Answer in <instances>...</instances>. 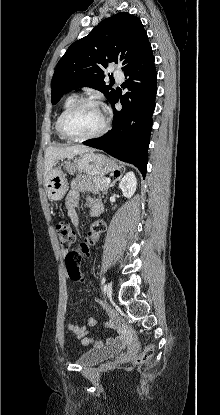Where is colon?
Instances as JSON below:
<instances>
[{"label": "colon", "mask_w": 220, "mask_h": 415, "mask_svg": "<svg viewBox=\"0 0 220 415\" xmlns=\"http://www.w3.org/2000/svg\"><path fill=\"white\" fill-rule=\"evenodd\" d=\"M55 229L61 246L66 249L65 261L68 275L73 281L78 282L83 278L80 261L89 251V246L84 241L76 244L74 232L67 222H58ZM152 355L153 346L149 345L144 353L137 357L136 362L143 363L150 359Z\"/></svg>", "instance_id": "obj_1"}]
</instances>
